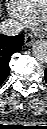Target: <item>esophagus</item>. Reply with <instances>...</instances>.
Instances as JSON below:
<instances>
[{"label":"esophagus","instance_id":"1","mask_svg":"<svg viewBox=\"0 0 47 129\" xmlns=\"http://www.w3.org/2000/svg\"><path fill=\"white\" fill-rule=\"evenodd\" d=\"M34 37L32 34H26L24 38V43L26 46H31L34 42Z\"/></svg>","mask_w":47,"mask_h":129}]
</instances>
